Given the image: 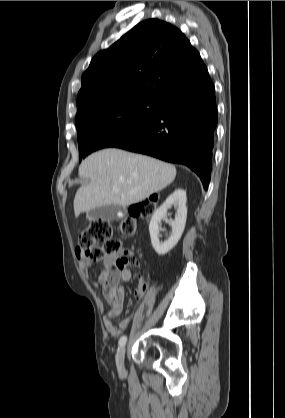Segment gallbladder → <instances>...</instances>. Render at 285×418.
Returning a JSON list of instances; mask_svg holds the SVG:
<instances>
[{
  "label": "gallbladder",
  "mask_w": 285,
  "mask_h": 418,
  "mask_svg": "<svg viewBox=\"0 0 285 418\" xmlns=\"http://www.w3.org/2000/svg\"><path fill=\"white\" fill-rule=\"evenodd\" d=\"M122 212V207L117 205H104L93 208L87 212L88 220L101 219L104 221H118L120 219L119 213Z\"/></svg>",
  "instance_id": "obj_1"
}]
</instances>
